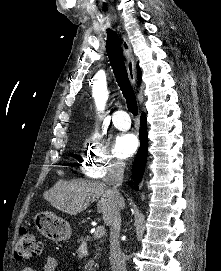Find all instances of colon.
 Returning <instances> with one entry per match:
<instances>
[{
  "mask_svg": "<svg viewBox=\"0 0 221 271\" xmlns=\"http://www.w3.org/2000/svg\"><path fill=\"white\" fill-rule=\"evenodd\" d=\"M41 252L42 244L34 232L26 227L22 228L14 250L15 259L21 262L32 260L39 257Z\"/></svg>",
  "mask_w": 221,
  "mask_h": 271,
  "instance_id": "colon-1",
  "label": "colon"
}]
</instances>
